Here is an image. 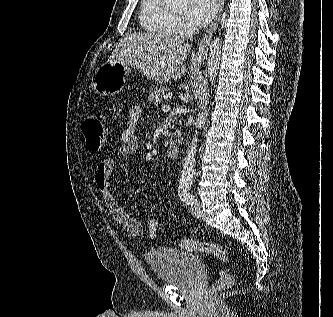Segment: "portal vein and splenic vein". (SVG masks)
Returning <instances> with one entry per match:
<instances>
[{"label":"portal vein and splenic vein","instance_id":"obj_1","mask_svg":"<svg viewBox=\"0 0 333 317\" xmlns=\"http://www.w3.org/2000/svg\"><path fill=\"white\" fill-rule=\"evenodd\" d=\"M162 110H163V111H169V110H170V106L167 105V104H166V105H163V106H162Z\"/></svg>","mask_w":333,"mask_h":317}]
</instances>
